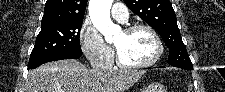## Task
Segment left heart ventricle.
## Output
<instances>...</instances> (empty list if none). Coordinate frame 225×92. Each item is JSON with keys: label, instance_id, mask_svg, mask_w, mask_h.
Returning <instances> with one entry per match:
<instances>
[{"label": "left heart ventricle", "instance_id": "1", "mask_svg": "<svg viewBox=\"0 0 225 92\" xmlns=\"http://www.w3.org/2000/svg\"><path fill=\"white\" fill-rule=\"evenodd\" d=\"M115 46L126 63H144L156 53V44L151 34L146 30L132 33L122 32L115 39Z\"/></svg>", "mask_w": 225, "mask_h": 92}]
</instances>
